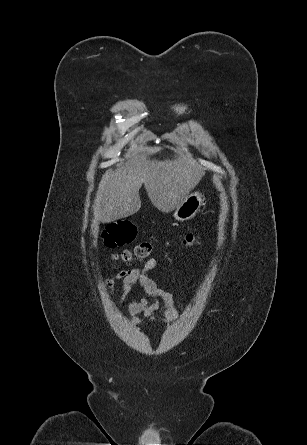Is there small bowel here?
I'll return each mask as SVG.
<instances>
[{
    "instance_id": "small-bowel-1",
    "label": "small bowel",
    "mask_w": 307,
    "mask_h": 445,
    "mask_svg": "<svg viewBox=\"0 0 307 445\" xmlns=\"http://www.w3.org/2000/svg\"><path fill=\"white\" fill-rule=\"evenodd\" d=\"M156 266L157 260L151 259L142 268L120 271L106 280V287L109 290L112 289L116 280L122 281L121 300L125 299L134 284H138L144 291L145 297L127 304V311L135 324L142 321L138 318V315L142 314L149 318L160 304L163 306L167 322L173 321L182 308V305L175 306L173 295L169 291L157 286L155 281L148 275V272Z\"/></svg>"
}]
</instances>
